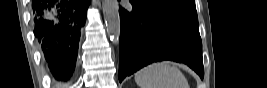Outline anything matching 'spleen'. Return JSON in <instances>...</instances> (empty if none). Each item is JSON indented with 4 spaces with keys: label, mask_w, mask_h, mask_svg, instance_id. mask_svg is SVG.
Segmentation results:
<instances>
[{
    "label": "spleen",
    "mask_w": 267,
    "mask_h": 88,
    "mask_svg": "<svg viewBox=\"0 0 267 88\" xmlns=\"http://www.w3.org/2000/svg\"><path fill=\"white\" fill-rule=\"evenodd\" d=\"M135 81L139 88H189L180 69L167 62L144 67L135 74Z\"/></svg>",
    "instance_id": "3e777b00"
}]
</instances>
